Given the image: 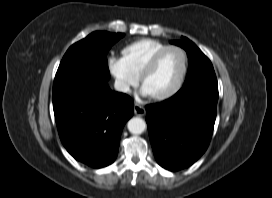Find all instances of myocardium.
<instances>
[{
    "mask_svg": "<svg viewBox=\"0 0 272 198\" xmlns=\"http://www.w3.org/2000/svg\"><path fill=\"white\" fill-rule=\"evenodd\" d=\"M170 50H177L181 53L182 58H183V69H182V73L181 76L177 82V84L167 93L161 94V95H156V96H150V98L154 101H164L167 99L172 98L173 96H175L183 87L186 77H187V73H188V55L186 53V51L176 45H168L162 49H160L159 51H157L152 58L149 60V62L146 64V66L143 68L141 74L139 75V82L142 85L143 81L145 80V78L154 71V69L157 67L158 63L160 62L161 58L163 57V55L165 53H167Z\"/></svg>",
    "mask_w": 272,
    "mask_h": 198,
    "instance_id": "obj_1",
    "label": "myocardium"
}]
</instances>
